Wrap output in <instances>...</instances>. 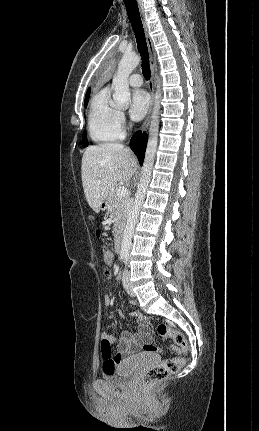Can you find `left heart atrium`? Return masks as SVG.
<instances>
[{
	"mask_svg": "<svg viewBox=\"0 0 259 431\" xmlns=\"http://www.w3.org/2000/svg\"><path fill=\"white\" fill-rule=\"evenodd\" d=\"M150 104V99L148 94L144 90H136L131 96L129 113L133 120H141Z\"/></svg>",
	"mask_w": 259,
	"mask_h": 431,
	"instance_id": "left-heart-atrium-1",
	"label": "left heart atrium"
}]
</instances>
